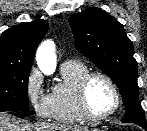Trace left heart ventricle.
Instances as JSON below:
<instances>
[{"label":"left heart ventricle","instance_id":"b2bd125f","mask_svg":"<svg viewBox=\"0 0 147 131\" xmlns=\"http://www.w3.org/2000/svg\"><path fill=\"white\" fill-rule=\"evenodd\" d=\"M88 107L94 115H104L114 106V94L110 85L102 78H94L87 90Z\"/></svg>","mask_w":147,"mask_h":131}]
</instances>
